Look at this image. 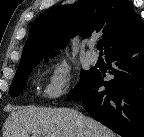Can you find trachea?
Wrapping results in <instances>:
<instances>
[{"instance_id": "obj_1", "label": "trachea", "mask_w": 144, "mask_h": 137, "mask_svg": "<svg viewBox=\"0 0 144 137\" xmlns=\"http://www.w3.org/2000/svg\"><path fill=\"white\" fill-rule=\"evenodd\" d=\"M97 49L100 51V53H102V50H103V41L102 40L98 41Z\"/></svg>"}]
</instances>
